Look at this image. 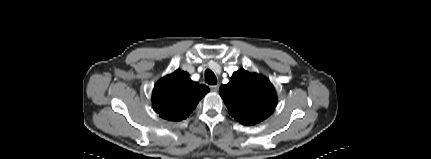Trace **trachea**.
<instances>
[{
  "mask_svg": "<svg viewBox=\"0 0 431 159\" xmlns=\"http://www.w3.org/2000/svg\"><path fill=\"white\" fill-rule=\"evenodd\" d=\"M205 81H206V83H208L210 85H216L217 84V78H216L215 74L209 69L205 71Z\"/></svg>",
  "mask_w": 431,
  "mask_h": 159,
  "instance_id": "1",
  "label": "trachea"
}]
</instances>
